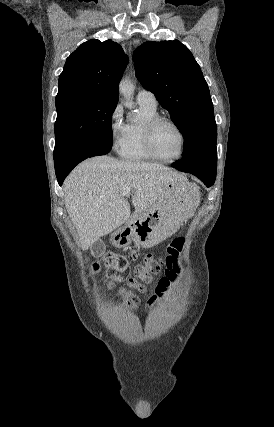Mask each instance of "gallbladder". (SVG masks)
I'll return each mask as SVG.
<instances>
[{
  "label": "gallbladder",
  "instance_id": "1",
  "mask_svg": "<svg viewBox=\"0 0 274 427\" xmlns=\"http://www.w3.org/2000/svg\"><path fill=\"white\" fill-rule=\"evenodd\" d=\"M90 249L94 257H101V255L105 253L106 245L102 239H98V241H94V243L90 245Z\"/></svg>",
  "mask_w": 274,
  "mask_h": 427
}]
</instances>
